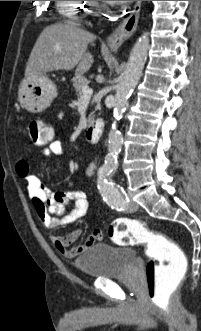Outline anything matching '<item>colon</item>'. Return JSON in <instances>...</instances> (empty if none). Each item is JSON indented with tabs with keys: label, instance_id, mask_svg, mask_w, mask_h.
<instances>
[{
	"label": "colon",
	"instance_id": "5ec220e1",
	"mask_svg": "<svg viewBox=\"0 0 201 331\" xmlns=\"http://www.w3.org/2000/svg\"><path fill=\"white\" fill-rule=\"evenodd\" d=\"M28 130L30 141L34 145L43 146L52 142L53 129L48 122L33 119L29 122ZM109 236L114 243L121 246H146L149 257L145 267L147 296L157 307H168L187 269L182 250L163 234L128 218L113 221Z\"/></svg>",
	"mask_w": 201,
	"mask_h": 331
}]
</instances>
